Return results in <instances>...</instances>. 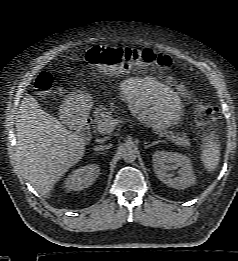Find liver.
Wrapping results in <instances>:
<instances>
[{
    "label": "liver",
    "instance_id": "obj_1",
    "mask_svg": "<svg viewBox=\"0 0 238 261\" xmlns=\"http://www.w3.org/2000/svg\"><path fill=\"white\" fill-rule=\"evenodd\" d=\"M16 129L23 173L38 193L48 197L63 174L82 159L86 141L42 110L30 94L20 104Z\"/></svg>",
    "mask_w": 238,
    "mask_h": 261
}]
</instances>
